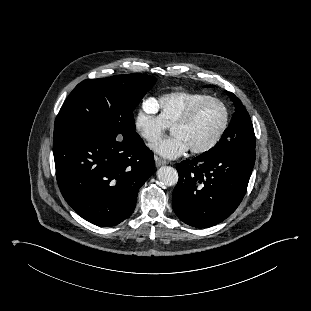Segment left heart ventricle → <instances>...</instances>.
<instances>
[{"label":"left heart ventricle","mask_w":311,"mask_h":311,"mask_svg":"<svg viewBox=\"0 0 311 311\" xmlns=\"http://www.w3.org/2000/svg\"><path fill=\"white\" fill-rule=\"evenodd\" d=\"M223 117L222 106L216 102H208L197 111L190 123L176 127L171 132L183 138L190 149L199 148L214 138L221 127Z\"/></svg>","instance_id":"b2bd125f"}]
</instances>
